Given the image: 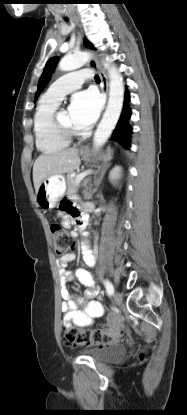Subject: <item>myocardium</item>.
Listing matches in <instances>:
<instances>
[{
	"instance_id": "1",
	"label": "myocardium",
	"mask_w": 187,
	"mask_h": 415,
	"mask_svg": "<svg viewBox=\"0 0 187 415\" xmlns=\"http://www.w3.org/2000/svg\"><path fill=\"white\" fill-rule=\"evenodd\" d=\"M54 124L57 130L69 140H71L79 134L78 130H76L75 128L67 127L64 124H62L58 118V113L54 114Z\"/></svg>"
}]
</instances>
